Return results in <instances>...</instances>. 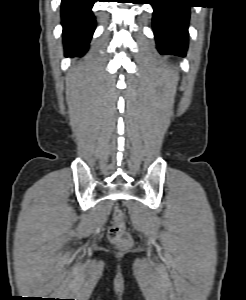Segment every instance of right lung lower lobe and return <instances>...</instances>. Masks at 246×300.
Segmentation results:
<instances>
[{
	"mask_svg": "<svg viewBox=\"0 0 246 300\" xmlns=\"http://www.w3.org/2000/svg\"><path fill=\"white\" fill-rule=\"evenodd\" d=\"M95 1L98 0H62L61 16L66 56H81L86 53L96 25L91 11Z\"/></svg>",
	"mask_w": 246,
	"mask_h": 300,
	"instance_id": "obj_1",
	"label": "right lung lower lobe"
}]
</instances>
